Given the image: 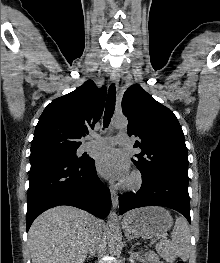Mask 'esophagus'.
I'll use <instances>...</instances> for the list:
<instances>
[{"instance_id": "1", "label": "esophagus", "mask_w": 220, "mask_h": 263, "mask_svg": "<svg viewBox=\"0 0 220 263\" xmlns=\"http://www.w3.org/2000/svg\"><path fill=\"white\" fill-rule=\"evenodd\" d=\"M119 80H120V76H119L118 72L116 70H114L111 73V81L113 83H115L116 85H118ZM110 194H111L112 206H113V208H116L118 205V194L114 190H111Z\"/></svg>"}]
</instances>
